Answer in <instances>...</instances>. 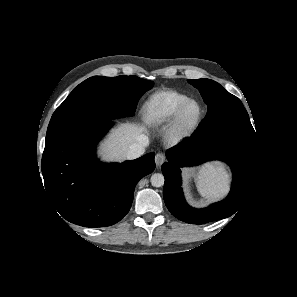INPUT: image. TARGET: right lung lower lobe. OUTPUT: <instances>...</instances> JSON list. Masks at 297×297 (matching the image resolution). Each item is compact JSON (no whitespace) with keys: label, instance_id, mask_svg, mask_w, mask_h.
I'll use <instances>...</instances> for the list:
<instances>
[{"label":"right lung lower lobe","instance_id":"right-lung-lower-lobe-1","mask_svg":"<svg viewBox=\"0 0 297 297\" xmlns=\"http://www.w3.org/2000/svg\"><path fill=\"white\" fill-rule=\"evenodd\" d=\"M113 124L99 121L45 145L41 169L50 200L68 221L105 227L129 211L138 181L155 169L154 153L121 164L97 162L95 147Z\"/></svg>","mask_w":297,"mask_h":297}]
</instances>
